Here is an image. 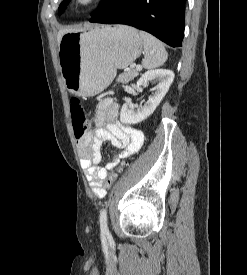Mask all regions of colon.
Instances as JSON below:
<instances>
[{
	"instance_id": "obj_1",
	"label": "colon",
	"mask_w": 247,
	"mask_h": 275,
	"mask_svg": "<svg viewBox=\"0 0 247 275\" xmlns=\"http://www.w3.org/2000/svg\"><path fill=\"white\" fill-rule=\"evenodd\" d=\"M70 113L74 135L77 139H80L85 134L88 124L85 111L80 101L76 98H73L71 100ZM122 168L123 165H121L116 171L110 173V175L107 177L104 183V187L106 189L110 188L113 185Z\"/></svg>"
}]
</instances>
